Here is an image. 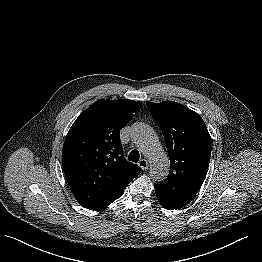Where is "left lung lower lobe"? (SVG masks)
Masks as SVG:
<instances>
[{"label": "left lung lower lobe", "instance_id": "1", "mask_svg": "<svg viewBox=\"0 0 262 262\" xmlns=\"http://www.w3.org/2000/svg\"><path fill=\"white\" fill-rule=\"evenodd\" d=\"M155 192L160 204L166 209H180L191 202L185 198H180L178 196H174L167 192H164L156 186Z\"/></svg>", "mask_w": 262, "mask_h": 262}]
</instances>
